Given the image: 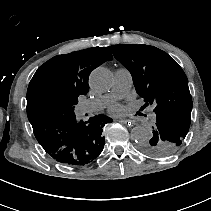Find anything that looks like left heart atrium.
Returning <instances> with one entry per match:
<instances>
[{
	"mask_svg": "<svg viewBox=\"0 0 211 211\" xmlns=\"http://www.w3.org/2000/svg\"><path fill=\"white\" fill-rule=\"evenodd\" d=\"M111 111L114 113H123L126 111V107L122 104H115L112 106Z\"/></svg>",
	"mask_w": 211,
	"mask_h": 211,
	"instance_id": "1",
	"label": "left heart atrium"
}]
</instances>
